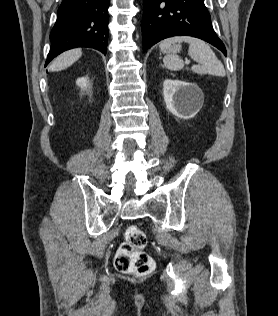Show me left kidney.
<instances>
[{
  "instance_id": "left-kidney-1",
  "label": "left kidney",
  "mask_w": 278,
  "mask_h": 316,
  "mask_svg": "<svg viewBox=\"0 0 278 316\" xmlns=\"http://www.w3.org/2000/svg\"><path fill=\"white\" fill-rule=\"evenodd\" d=\"M163 94L167 109L181 119L194 117L203 104V93L193 83L166 79Z\"/></svg>"
}]
</instances>
